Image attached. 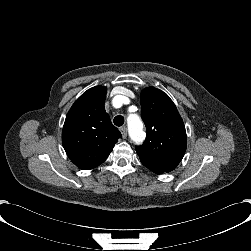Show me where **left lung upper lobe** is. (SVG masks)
<instances>
[{"instance_id": "obj_1", "label": "left lung upper lobe", "mask_w": 251, "mask_h": 251, "mask_svg": "<svg viewBox=\"0 0 251 251\" xmlns=\"http://www.w3.org/2000/svg\"><path fill=\"white\" fill-rule=\"evenodd\" d=\"M141 116L147 138L136 151L141 163L156 173L170 172L182 160L187 144L183 120L167 94L147 87L141 92Z\"/></svg>"}]
</instances>
